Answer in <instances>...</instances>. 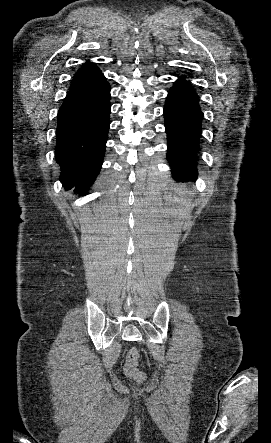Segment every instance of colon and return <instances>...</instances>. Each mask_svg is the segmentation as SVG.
Returning a JSON list of instances; mask_svg holds the SVG:
<instances>
[{"label": "colon", "instance_id": "1", "mask_svg": "<svg viewBox=\"0 0 271 443\" xmlns=\"http://www.w3.org/2000/svg\"><path fill=\"white\" fill-rule=\"evenodd\" d=\"M140 353L137 348H131L126 356L124 364L125 374L136 382H142L145 374L139 369Z\"/></svg>", "mask_w": 271, "mask_h": 443}]
</instances>
